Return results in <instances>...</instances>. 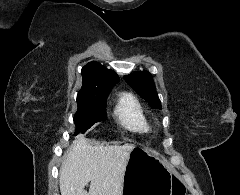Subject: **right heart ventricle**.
<instances>
[{
    "mask_svg": "<svg viewBox=\"0 0 240 195\" xmlns=\"http://www.w3.org/2000/svg\"><path fill=\"white\" fill-rule=\"evenodd\" d=\"M114 116L126 129L144 132L149 129L148 117L138 98L131 94L123 95L114 108Z\"/></svg>",
    "mask_w": 240,
    "mask_h": 195,
    "instance_id": "1",
    "label": "right heart ventricle"
}]
</instances>
